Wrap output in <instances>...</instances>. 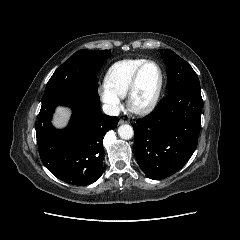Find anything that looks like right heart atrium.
Wrapping results in <instances>:
<instances>
[{"instance_id":"1","label":"right heart atrium","mask_w":240,"mask_h":240,"mask_svg":"<svg viewBox=\"0 0 240 240\" xmlns=\"http://www.w3.org/2000/svg\"><path fill=\"white\" fill-rule=\"evenodd\" d=\"M101 101L106 105L110 113H116L121 107V99L113 93L106 85H103L98 90Z\"/></svg>"}]
</instances>
